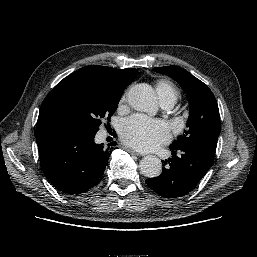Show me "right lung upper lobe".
Here are the masks:
<instances>
[{
  "mask_svg": "<svg viewBox=\"0 0 257 257\" xmlns=\"http://www.w3.org/2000/svg\"><path fill=\"white\" fill-rule=\"evenodd\" d=\"M127 72V69L90 65L73 72L60 81L49 92L40 107L35 132L37 143L51 135L66 130L59 122L55 112L56 97L65 83L76 78H90L103 87L120 89L129 85L127 84Z\"/></svg>",
  "mask_w": 257,
  "mask_h": 257,
  "instance_id": "right-lung-upper-lobe-1",
  "label": "right lung upper lobe"
}]
</instances>
